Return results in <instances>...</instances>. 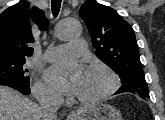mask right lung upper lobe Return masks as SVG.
<instances>
[{
  "instance_id": "right-lung-upper-lobe-1",
  "label": "right lung upper lobe",
  "mask_w": 165,
  "mask_h": 120,
  "mask_svg": "<svg viewBox=\"0 0 165 120\" xmlns=\"http://www.w3.org/2000/svg\"><path fill=\"white\" fill-rule=\"evenodd\" d=\"M47 29L45 13L37 7L30 9L28 2L17 3L0 14V59L25 58L33 54L30 23Z\"/></svg>"
}]
</instances>
